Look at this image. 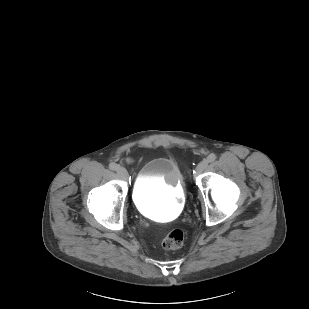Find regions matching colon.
<instances>
[{
    "mask_svg": "<svg viewBox=\"0 0 309 309\" xmlns=\"http://www.w3.org/2000/svg\"><path fill=\"white\" fill-rule=\"evenodd\" d=\"M184 241V233L180 229H172L168 231L162 241V246L165 249L180 248Z\"/></svg>",
    "mask_w": 309,
    "mask_h": 309,
    "instance_id": "colon-1",
    "label": "colon"
}]
</instances>
